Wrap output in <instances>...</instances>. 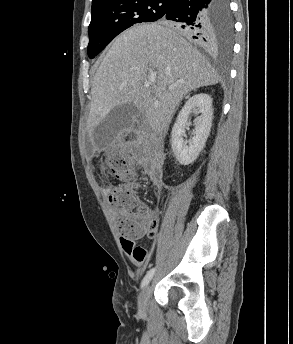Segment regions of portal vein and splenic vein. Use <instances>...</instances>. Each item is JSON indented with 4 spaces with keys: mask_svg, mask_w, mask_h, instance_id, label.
<instances>
[{
    "mask_svg": "<svg viewBox=\"0 0 293 344\" xmlns=\"http://www.w3.org/2000/svg\"><path fill=\"white\" fill-rule=\"evenodd\" d=\"M154 84H155V78L152 79L151 82H150L149 84H147L146 86H147V87H150V86H152V85H154Z\"/></svg>",
    "mask_w": 293,
    "mask_h": 344,
    "instance_id": "18ae733b",
    "label": "portal vein and splenic vein"
}]
</instances>
